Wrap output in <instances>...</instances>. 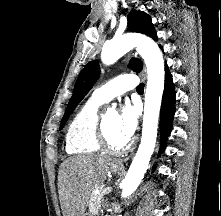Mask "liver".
Wrapping results in <instances>:
<instances>
[{"instance_id": "6515ba94", "label": "liver", "mask_w": 221, "mask_h": 216, "mask_svg": "<svg viewBox=\"0 0 221 216\" xmlns=\"http://www.w3.org/2000/svg\"><path fill=\"white\" fill-rule=\"evenodd\" d=\"M111 158L78 155L65 160L59 169L58 192L63 216H83L92 191L106 179Z\"/></svg>"}]
</instances>
